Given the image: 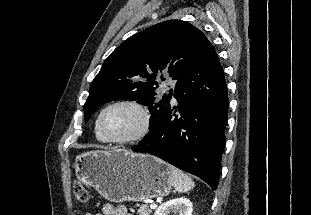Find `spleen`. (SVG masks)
<instances>
[{"mask_svg":"<svg viewBox=\"0 0 311 215\" xmlns=\"http://www.w3.org/2000/svg\"><path fill=\"white\" fill-rule=\"evenodd\" d=\"M168 170L170 172L175 190L178 193L188 192L189 190L194 188V181L186 173L172 165H168Z\"/></svg>","mask_w":311,"mask_h":215,"instance_id":"3e777b00","label":"spleen"}]
</instances>
